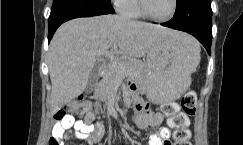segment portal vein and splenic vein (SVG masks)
I'll use <instances>...</instances> for the list:
<instances>
[{
    "label": "portal vein and splenic vein",
    "mask_w": 243,
    "mask_h": 145,
    "mask_svg": "<svg viewBox=\"0 0 243 145\" xmlns=\"http://www.w3.org/2000/svg\"><path fill=\"white\" fill-rule=\"evenodd\" d=\"M97 54L104 55V56L108 57L110 60L114 61L115 63H118L120 71L122 73L126 72L124 65L120 63V60L115 56V54L112 51H109V46H106V47L98 50Z\"/></svg>",
    "instance_id": "portal-vein-and-splenic-vein-1"
}]
</instances>
